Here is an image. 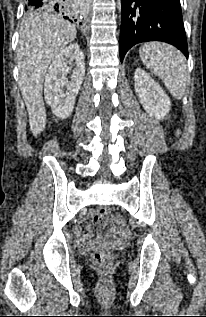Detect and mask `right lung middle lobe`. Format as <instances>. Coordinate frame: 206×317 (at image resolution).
Listing matches in <instances>:
<instances>
[{"label": "right lung middle lobe", "instance_id": "1", "mask_svg": "<svg viewBox=\"0 0 206 317\" xmlns=\"http://www.w3.org/2000/svg\"><path fill=\"white\" fill-rule=\"evenodd\" d=\"M42 12H33V13H26V18H33L35 16H37L38 14H41Z\"/></svg>", "mask_w": 206, "mask_h": 317}]
</instances>
